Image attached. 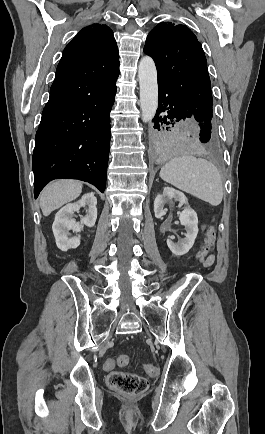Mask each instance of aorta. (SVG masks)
<instances>
[{
	"label": "aorta",
	"instance_id": "1",
	"mask_svg": "<svg viewBox=\"0 0 265 434\" xmlns=\"http://www.w3.org/2000/svg\"><path fill=\"white\" fill-rule=\"evenodd\" d=\"M142 122H152L158 108L157 70L150 56L141 58L138 66Z\"/></svg>",
	"mask_w": 265,
	"mask_h": 434
}]
</instances>
